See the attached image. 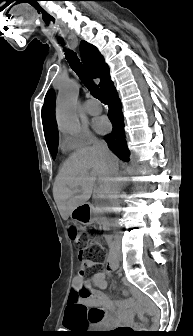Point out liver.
I'll return each instance as SVG.
<instances>
[{
  "label": "liver",
  "instance_id": "6515ba94",
  "mask_svg": "<svg viewBox=\"0 0 193 336\" xmlns=\"http://www.w3.org/2000/svg\"><path fill=\"white\" fill-rule=\"evenodd\" d=\"M119 160L110 152L104 158L94 147L82 148L69 156L56 176L53 197L63 220L91 197L96 181L97 193L107 197L111 179L118 174Z\"/></svg>",
  "mask_w": 193,
  "mask_h": 336
}]
</instances>
